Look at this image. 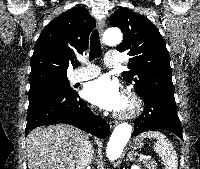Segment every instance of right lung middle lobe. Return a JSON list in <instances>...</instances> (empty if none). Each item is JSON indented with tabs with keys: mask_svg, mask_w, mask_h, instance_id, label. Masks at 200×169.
I'll use <instances>...</instances> for the list:
<instances>
[{
	"mask_svg": "<svg viewBox=\"0 0 200 169\" xmlns=\"http://www.w3.org/2000/svg\"><path fill=\"white\" fill-rule=\"evenodd\" d=\"M55 91L73 92L67 78L64 79H48L37 84L31 85L29 90V99L34 96L47 95Z\"/></svg>",
	"mask_w": 200,
	"mask_h": 169,
	"instance_id": "1",
	"label": "right lung middle lobe"
}]
</instances>
